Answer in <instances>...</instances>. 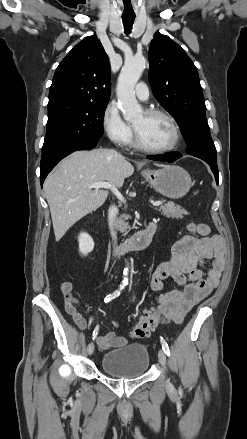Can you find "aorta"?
Instances as JSON below:
<instances>
[{
    "label": "aorta",
    "mask_w": 247,
    "mask_h": 439,
    "mask_svg": "<svg viewBox=\"0 0 247 439\" xmlns=\"http://www.w3.org/2000/svg\"><path fill=\"white\" fill-rule=\"evenodd\" d=\"M146 67L144 57L134 56L125 60L118 77L117 98L119 108L127 121L140 117L142 109L135 96V85ZM128 267L123 271V283L128 282Z\"/></svg>",
    "instance_id": "aorta-1"
}]
</instances>
